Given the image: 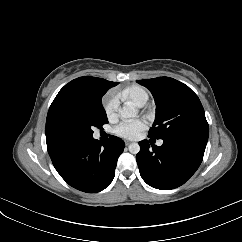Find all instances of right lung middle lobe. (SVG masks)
<instances>
[{
    "label": "right lung middle lobe",
    "mask_w": 242,
    "mask_h": 242,
    "mask_svg": "<svg viewBox=\"0 0 242 242\" xmlns=\"http://www.w3.org/2000/svg\"><path fill=\"white\" fill-rule=\"evenodd\" d=\"M108 123L101 99L89 103L66 102L58 106L51 116L56 134L65 137L74 134L92 136L94 127Z\"/></svg>",
    "instance_id": "dd1d6c3e"
}]
</instances>
